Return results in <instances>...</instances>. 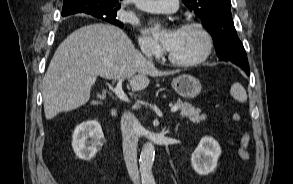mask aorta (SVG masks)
<instances>
[{
  "label": "aorta",
  "instance_id": "aorta-1",
  "mask_svg": "<svg viewBox=\"0 0 293 184\" xmlns=\"http://www.w3.org/2000/svg\"><path fill=\"white\" fill-rule=\"evenodd\" d=\"M155 157V148L152 143H145L140 155V173L142 184H155L152 166Z\"/></svg>",
  "mask_w": 293,
  "mask_h": 184
}]
</instances>
